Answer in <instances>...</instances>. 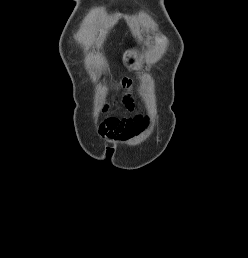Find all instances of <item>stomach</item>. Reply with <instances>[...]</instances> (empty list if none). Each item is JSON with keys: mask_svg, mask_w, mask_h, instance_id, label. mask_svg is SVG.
I'll return each mask as SVG.
<instances>
[{"mask_svg": "<svg viewBox=\"0 0 248 258\" xmlns=\"http://www.w3.org/2000/svg\"><path fill=\"white\" fill-rule=\"evenodd\" d=\"M143 51L134 48L128 50L123 56V65L130 70L138 69L143 64Z\"/></svg>", "mask_w": 248, "mask_h": 258, "instance_id": "0dacf381", "label": "stomach"}]
</instances>
